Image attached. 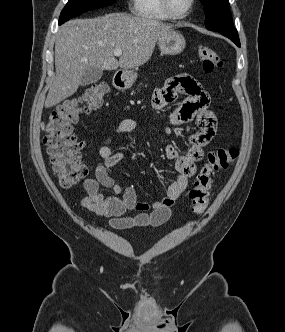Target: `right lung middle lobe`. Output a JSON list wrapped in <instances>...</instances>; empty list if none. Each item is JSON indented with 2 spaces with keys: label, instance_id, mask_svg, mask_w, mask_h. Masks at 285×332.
I'll use <instances>...</instances> for the list:
<instances>
[{
  "label": "right lung middle lobe",
  "instance_id": "right-lung-middle-lobe-1",
  "mask_svg": "<svg viewBox=\"0 0 285 332\" xmlns=\"http://www.w3.org/2000/svg\"><path fill=\"white\" fill-rule=\"evenodd\" d=\"M116 0H69L60 14L59 24H62L72 17L78 16L86 11L110 6Z\"/></svg>",
  "mask_w": 285,
  "mask_h": 332
}]
</instances>
